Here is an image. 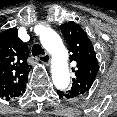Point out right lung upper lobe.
<instances>
[{"label":"right lung upper lobe","instance_id":"obj_1","mask_svg":"<svg viewBox=\"0 0 117 117\" xmlns=\"http://www.w3.org/2000/svg\"><path fill=\"white\" fill-rule=\"evenodd\" d=\"M16 28L0 33V97L10 100L25 91L31 66L27 63V45Z\"/></svg>","mask_w":117,"mask_h":117}]
</instances>
